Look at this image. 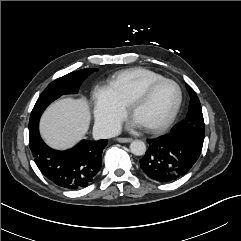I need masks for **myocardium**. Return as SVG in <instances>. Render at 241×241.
<instances>
[{
  "instance_id": "1",
  "label": "myocardium",
  "mask_w": 241,
  "mask_h": 241,
  "mask_svg": "<svg viewBox=\"0 0 241 241\" xmlns=\"http://www.w3.org/2000/svg\"><path fill=\"white\" fill-rule=\"evenodd\" d=\"M164 83H171V84H173L177 88L178 100H177L176 106H175L172 114L170 115V117L164 123H162L160 125L144 126V128L146 130H148L150 132H153V133H162V132L168 130L173 125V123L175 122V120H176V118H177V116H178V114L180 112L182 103H183V92H182V89H181L180 85L177 82H175L174 80L168 79V78H163V79H160V80H156V81L151 82L150 84H148L132 100V102L129 105L130 106V114L132 116H134V113H135L136 109L149 98V96L152 94V92L158 86H160V85H162Z\"/></svg>"
}]
</instances>
